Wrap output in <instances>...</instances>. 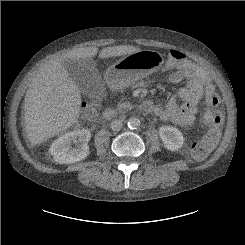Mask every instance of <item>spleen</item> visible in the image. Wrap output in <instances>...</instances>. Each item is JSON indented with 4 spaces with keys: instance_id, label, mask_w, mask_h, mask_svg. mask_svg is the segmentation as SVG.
<instances>
[{
    "instance_id": "3e777b00",
    "label": "spleen",
    "mask_w": 245,
    "mask_h": 245,
    "mask_svg": "<svg viewBox=\"0 0 245 245\" xmlns=\"http://www.w3.org/2000/svg\"><path fill=\"white\" fill-rule=\"evenodd\" d=\"M208 118H209V111H207L206 114H205V122L208 121Z\"/></svg>"
}]
</instances>
